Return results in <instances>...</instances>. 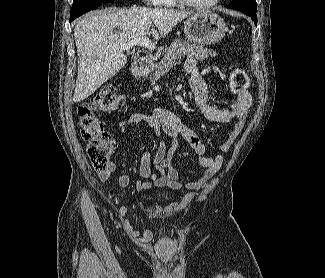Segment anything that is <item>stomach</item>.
I'll use <instances>...</instances> for the list:
<instances>
[{
	"label": "stomach",
	"mask_w": 325,
	"mask_h": 278,
	"mask_svg": "<svg viewBox=\"0 0 325 278\" xmlns=\"http://www.w3.org/2000/svg\"><path fill=\"white\" fill-rule=\"evenodd\" d=\"M184 31L189 41L212 45L222 40L226 25L219 15L211 11H199L188 17Z\"/></svg>",
	"instance_id": "obj_1"
}]
</instances>
